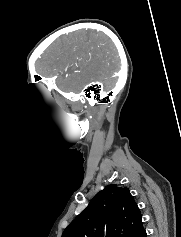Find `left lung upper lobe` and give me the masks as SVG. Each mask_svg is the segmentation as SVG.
I'll return each mask as SVG.
<instances>
[{"mask_svg":"<svg viewBox=\"0 0 181 237\" xmlns=\"http://www.w3.org/2000/svg\"><path fill=\"white\" fill-rule=\"evenodd\" d=\"M141 212L128 188L107 185L68 225L62 237H137Z\"/></svg>","mask_w":181,"mask_h":237,"instance_id":"obj_1","label":"left lung upper lobe"}]
</instances>
